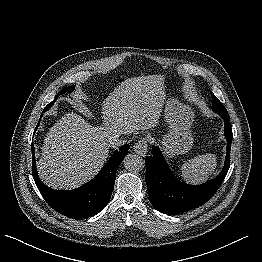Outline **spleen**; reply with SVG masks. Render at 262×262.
<instances>
[{
    "mask_svg": "<svg viewBox=\"0 0 262 262\" xmlns=\"http://www.w3.org/2000/svg\"><path fill=\"white\" fill-rule=\"evenodd\" d=\"M216 165V156L214 154L199 155L182 165V177L189 183L204 182L209 175L214 173Z\"/></svg>",
    "mask_w": 262,
    "mask_h": 262,
    "instance_id": "obj_1",
    "label": "spleen"
}]
</instances>
